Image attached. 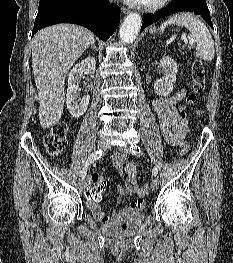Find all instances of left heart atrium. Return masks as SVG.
I'll return each instance as SVG.
<instances>
[{
    "instance_id": "39dd6f15",
    "label": "left heart atrium",
    "mask_w": 233,
    "mask_h": 263,
    "mask_svg": "<svg viewBox=\"0 0 233 263\" xmlns=\"http://www.w3.org/2000/svg\"><path fill=\"white\" fill-rule=\"evenodd\" d=\"M125 1L129 3H143L144 2V0H125Z\"/></svg>"
}]
</instances>
